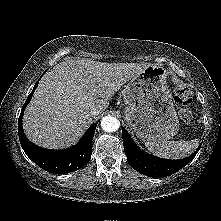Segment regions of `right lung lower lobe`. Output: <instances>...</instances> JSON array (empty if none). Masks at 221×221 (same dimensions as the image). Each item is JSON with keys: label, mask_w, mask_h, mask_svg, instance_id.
Wrapping results in <instances>:
<instances>
[{"label": "right lung lower lobe", "mask_w": 221, "mask_h": 221, "mask_svg": "<svg viewBox=\"0 0 221 221\" xmlns=\"http://www.w3.org/2000/svg\"><path fill=\"white\" fill-rule=\"evenodd\" d=\"M39 81L36 82L32 92L22 107L18 119V134L21 146L26 155L42 169L56 174L75 171L83 167L91 158L92 139L96 124L90 126L81 141L68 150H48L31 143L25 136L22 128V117L26 105L30 102Z\"/></svg>", "instance_id": "1"}]
</instances>
